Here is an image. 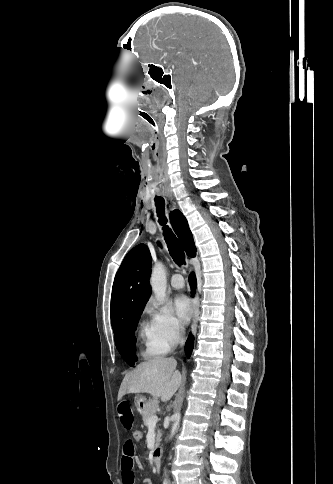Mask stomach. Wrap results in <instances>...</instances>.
<instances>
[{"mask_svg": "<svg viewBox=\"0 0 333 484\" xmlns=\"http://www.w3.org/2000/svg\"><path fill=\"white\" fill-rule=\"evenodd\" d=\"M148 403H149V400H147V398L144 397V396H136L135 397V406H136L137 411L140 414H143V412L147 408Z\"/></svg>", "mask_w": 333, "mask_h": 484, "instance_id": "obj_1", "label": "stomach"}]
</instances>
